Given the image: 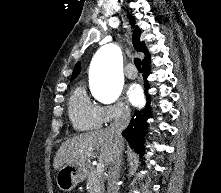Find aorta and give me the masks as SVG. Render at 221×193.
Instances as JSON below:
<instances>
[{"instance_id": "1", "label": "aorta", "mask_w": 221, "mask_h": 193, "mask_svg": "<svg viewBox=\"0 0 221 193\" xmlns=\"http://www.w3.org/2000/svg\"><path fill=\"white\" fill-rule=\"evenodd\" d=\"M122 54L117 45L101 47L92 61L93 95L103 103L115 102L122 91Z\"/></svg>"}]
</instances>
